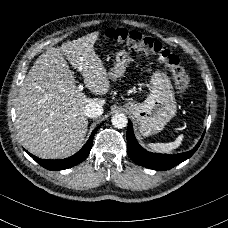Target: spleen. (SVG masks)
<instances>
[{
	"instance_id": "spleen-1",
	"label": "spleen",
	"mask_w": 228,
	"mask_h": 228,
	"mask_svg": "<svg viewBox=\"0 0 228 228\" xmlns=\"http://www.w3.org/2000/svg\"><path fill=\"white\" fill-rule=\"evenodd\" d=\"M184 136L183 134L179 135L175 141L169 142V143H150L148 144V147L152 150L160 153H171L172 150L178 148L183 140Z\"/></svg>"
}]
</instances>
